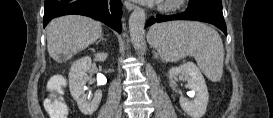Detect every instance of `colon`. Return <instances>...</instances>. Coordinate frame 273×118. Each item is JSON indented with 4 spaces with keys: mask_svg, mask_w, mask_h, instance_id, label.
I'll use <instances>...</instances> for the list:
<instances>
[{
    "mask_svg": "<svg viewBox=\"0 0 273 118\" xmlns=\"http://www.w3.org/2000/svg\"><path fill=\"white\" fill-rule=\"evenodd\" d=\"M51 89L52 93L44 100L46 111L52 118H66L68 107L61 94V87L56 86L55 83L52 85L51 80Z\"/></svg>",
    "mask_w": 273,
    "mask_h": 118,
    "instance_id": "1",
    "label": "colon"
}]
</instances>
